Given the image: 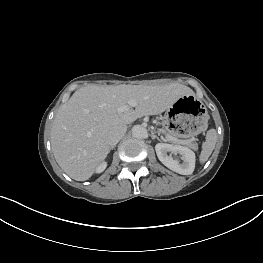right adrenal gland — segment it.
I'll list each match as a JSON object with an SVG mask.
<instances>
[{
    "mask_svg": "<svg viewBox=\"0 0 263 263\" xmlns=\"http://www.w3.org/2000/svg\"><path fill=\"white\" fill-rule=\"evenodd\" d=\"M114 147H110V150L113 149Z\"/></svg>",
    "mask_w": 263,
    "mask_h": 263,
    "instance_id": "obj_1",
    "label": "right adrenal gland"
}]
</instances>
